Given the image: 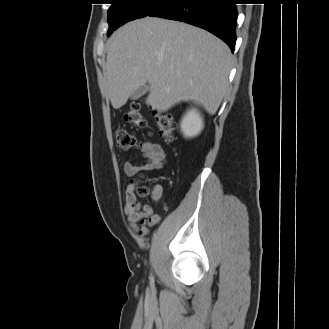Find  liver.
<instances>
[{
    "instance_id": "obj_1",
    "label": "liver",
    "mask_w": 329,
    "mask_h": 329,
    "mask_svg": "<svg viewBox=\"0 0 329 329\" xmlns=\"http://www.w3.org/2000/svg\"><path fill=\"white\" fill-rule=\"evenodd\" d=\"M105 84L113 108L149 83L147 104L165 112L193 101L215 114L228 87L229 47L192 25L145 17L119 28L107 42Z\"/></svg>"
}]
</instances>
